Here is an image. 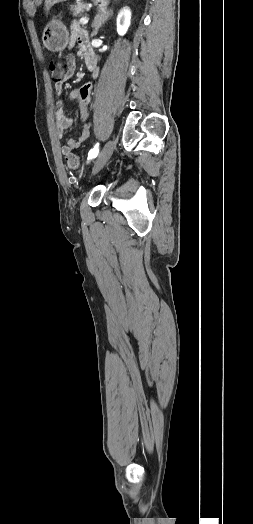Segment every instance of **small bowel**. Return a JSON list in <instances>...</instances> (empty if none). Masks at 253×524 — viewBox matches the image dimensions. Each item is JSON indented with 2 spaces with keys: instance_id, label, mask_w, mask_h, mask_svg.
I'll return each instance as SVG.
<instances>
[{
  "instance_id": "c3829d8e",
  "label": "small bowel",
  "mask_w": 253,
  "mask_h": 524,
  "mask_svg": "<svg viewBox=\"0 0 253 524\" xmlns=\"http://www.w3.org/2000/svg\"><path fill=\"white\" fill-rule=\"evenodd\" d=\"M77 44L79 46V54L84 57L88 69L95 79L99 74L98 58L95 52L89 45V37L86 30L78 25L72 27L71 45ZM93 68V69H91ZM77 70L76 58L74 55L67 57L66 71L61 74L60 82L55 84V91L58 98V103L55 110L56 118V132L59 138H62L64 131L71 127L73 119L66 116L64 111V85H67L72 77L75 76ZM93 85L91 82L82 85L79 88L72 90L69 93V99L76 100L78 103L80 119L82 123V130L77 138H70L62 147L61 152L65 156H69L71 152L84 143L89 136V121L91 108V92Z\"/></svg>"
}]
</instances>
